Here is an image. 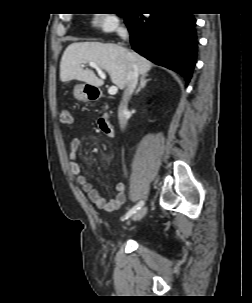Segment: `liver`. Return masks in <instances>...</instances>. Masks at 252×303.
Listing matches in <instances>:
<instances>
[{"instance_id": "obj_1", "label": "liver", "mask_w": 252, "mask_h": 303, "mask_svg": "<svg viewBox=\"0 0 252 303\" xmlns=\"http://www.w3.org/2000/svg\"><path fill=\"white\" fill-rule=\"evenodd\" d=\"M130 61L137 65L142 75L152 68L150 61L119 45L75 42L70 44L63 53L60 62V80L62 82L78 80L95 87L102 86L103 80L99 79L93 71L83 69L84 63L93 62L108 72L113 84L124 89Z\"/></svg>"}]
</instances>
